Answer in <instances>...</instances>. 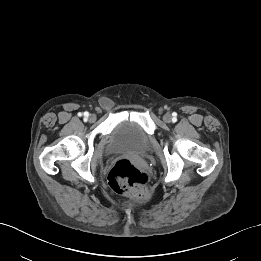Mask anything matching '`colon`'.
I'll list each match as a JSON object with an SVG mask.
<instances>
[{
    "instance_id": "obj_1",
    "label": "colon",
    "mask_w": 261,
    "mask_h": 261,
    "mask_svg": "<svg viewBox=\"0 0 261 261\" xmlns=\"http://www.w3.org/2000/svg\"><path fill=\"white\" fill-rule=\"evenodd\" d=\"M110 187L133 201H141L148 195V176L128 159L118 160L108 175Z\"/></svg>"
}]
</instances>
